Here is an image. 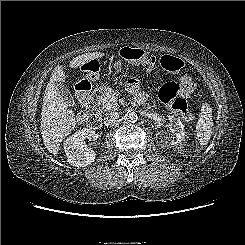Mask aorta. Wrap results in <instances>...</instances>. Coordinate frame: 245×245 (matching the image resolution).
Here are the masks:
<instances>
[{"instance_id": "762f6f07", "label": "aorta", "mask_w": 245, "mask_h": 245, "mask_svg": "<svg viewBox=\"0 0 245 245\" xmlns=\"http://www.w3.org/2000/svg\"><path fill=\"white\" fill-rule=\"evenodd\" d=\"M138 119V116L135 111H128L125 115V120L130 123H135Z\"/></svg>"}]
</instances>
